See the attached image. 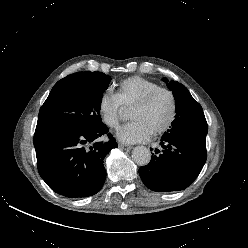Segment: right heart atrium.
I'll list each match as a JSON object with an SVG mask.
<instances>
[{
    "mask_svg": "<svg viewBox=\"0 0 248 248\" xmlns=\"http://www.w3.org/2000/svg\"><path fill=\"white\" fill-rule=\"evenodd\" d=\"M122 105L115 94L103 93L98 102V110L103 122L110 128H117L122 114Z\"/></svg>",
    "mask_w": 248,
    "mask_h": 248,
    "instance_id": "d8ad5b80",
    "label": "right heart atrium"
}]
</instances>
